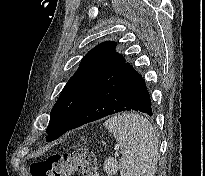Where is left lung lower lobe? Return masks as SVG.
<instances>
[{"mask_svg":"<svg viewBox=\"0 0 205 176\" xmlns=\"http://www.w3.org/2000/svg\"><path fill=\"white\" fill-rule=\"evenodd\" d=\"M130 110L153 114L144 79L129 63H124L80 106L68 130Z\"/></svg>","mask_w":205,"mask_h":176,"instance_id":"0a47b994","label":"left lung lower lobe"}]
</instances>
